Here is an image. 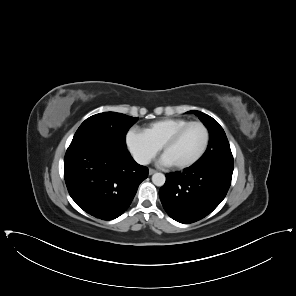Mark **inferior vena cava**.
<instances>
[{
  "instance_id": "obj_1",
  "label": "inferior vena cava",
  "mask_w": 296,
  "mask_h": 296,
  "mask_svg": "<svg viewBox=\"0 0 296 296\" xmlns=\"http://www.w3.org/2000/svg\"><path fill=\"white\" fill-rule=\"evenodd\" d=\"M133 158L140 165H147L151 161L150 157L142 152L134 153Z\"/></svg>"
}]
</instances>
